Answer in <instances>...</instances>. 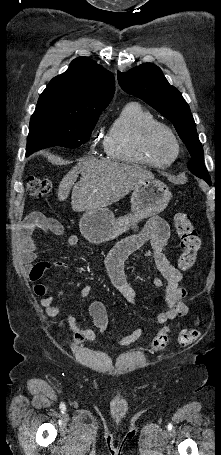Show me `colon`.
Instances as JSON below:
<instances>
[{
    "instance_id": "5ec220e1",
    "label": "colon",
    "mask_w": 221,
    "mask_h": 455,
    "mask_svg": "<svg viewBox=\"0 0 221 455\" xmlns=\"http://www.w3.org/2000/svg\"><path fill=\"white\" fill-rule=\"evenodd\" d=\"M29 194L35 198H42L52 195L55 192L54 184L45 178L30 177L26 183ZM174 226L180 239L182 253L179 257L178 267L181 270H189L196 262L200 250V238L193 225L191 217L185 213H179L174 217ZM200 336L198 329H185L178 335V343L188 346L195 343ZM170 341L168 328H162L155 335L151 349L161 351L165 349Z\"/></svg>"
}]
</instances>
